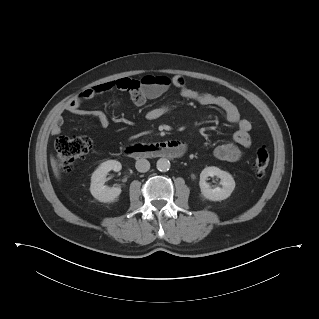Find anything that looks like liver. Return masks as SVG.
Instances as JSON below:
<instances>
[{
    "label": "liver",
    "instance_id": "1",
    "mask_svg": "<svg viewBox=\"0 0 319 319\" xmlns=\"http://www.w3.org/2000/svg\"><path fill=\"white\" fill-rule=\"evenodd\" d=\"M51 166L54 172V175L57 179H60V173L57 167V162L53 156L50 157Z\"/></svg>",
    "mask_w": 319,
    "mask_h": 319
}]
</instances>
